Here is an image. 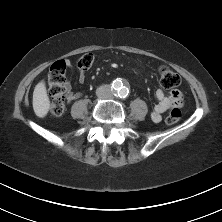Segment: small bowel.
<instances>
[{
  "label": "small bowel",
  "instance_id": "c3829d8e",
  "mask_svg": "<svg viewBox=\"0 0 222 222\" xmlns=\"http://www.w3.org/2000/svg\"><path fill=\"white\" fill-rule=\"evenodd\" d=\"M68 64L70 65L69 62ZM85 79H86L85 73L80 71L79 81L83 83ZM65 89H66V99L68 101H74L81 96L79 92L73 91L72 84L69 80L65 82ZM155 97L157 100V104L155 105V107L151 112V119L154 122H160L163 113H165L169 109L172 108L173 110L179 111L182 110L186 104L185 98L183 97L182 93L177 90L170 92L169 96H166V94L161 89H158L155 92Z\"/></svg>",
  "mask_w": 222,
  "mask_h": 222
}]
</instances>
